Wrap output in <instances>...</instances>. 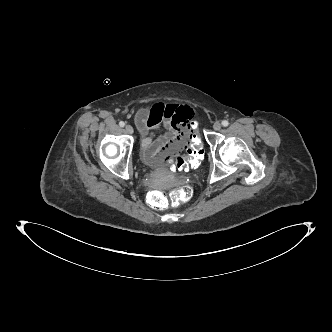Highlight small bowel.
I'll return each mask as SVG.
<instances>
[{"label":"small bowel","instance_id":"c3829d8e","mask_svg":"<svg viewBox=\"0 0 332 332\" xmlns=\"http://www.w3.org/2000/svg\"><path fill=\"white\" fill-rule=\"evenodd\" d=\"M194 110L176 102H156L142 107L135 116L142 133L141 150L145 162L157 167L168 164L171 157H178L189 144L193 135L189 124ZM163 126L165 132L155 138V132Z\"/></svg>","mask_w":332,"mask_h":332}]
</instances>
